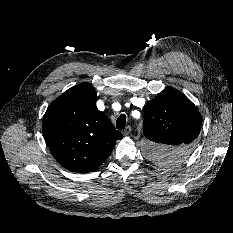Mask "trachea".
Returning a JSON list of instances; mask_svg holds the SVG:
<instances>
[{
	"label": "trachea",
	"instance_id": "1",
	"mask_svg": "<svg viewBox=\"0 0 233 233\" xmlns=\"http://www.w3.org/2000/svg\"><path fill=\"white\" fill-rule=\"evenodd\" d=\"M126 126V115L121 114L116 121V128L119 130L124 129Z\"/></svg>",
	"mask_w": 233,
	"mask_h": 233
}]
</instances>
